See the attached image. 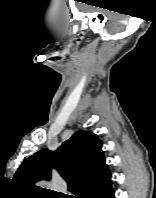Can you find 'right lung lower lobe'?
Returning a JSON list of instances; mask_svg holds the SVG:
<instances>
[{
    "label": "right lung lower lobe",
    "mask_w": 156,
    "mask_h": 198,
    "mask_svg": "<svg viewBox=\"0 0 156 198\" xmlns=\"http://www.w3.org/2000/svg\"><path fill=\"white\" fill-rule=\"evenodd\" d=\"M98 198H115L112 188L110 187L108 190H106L100 196H98Z\"/></svg>",
    "instance_id": "1"
}]
</instances>
